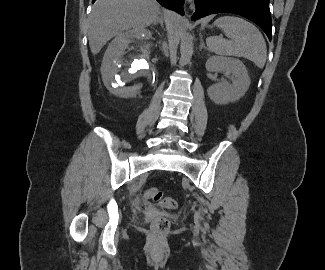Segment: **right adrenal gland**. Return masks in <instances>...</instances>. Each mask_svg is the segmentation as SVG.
<instances>
[{
	"mask_svg": "<svg viewBox=\"0 0 325 270\" xmlns=\"http://www.w3.org/2000/svg\"><path fill=\"white\" fill-rule=\"evenodd\" d=\"M160 24L162 28H164V21H163V17L160 15L158 17V19L153 23V25H157V24Z\"/></svg>",
	"mask_w": 325,
	"mask_h": 270,
	"instance_id": "right-adrenal-gland-1",
	"label": "right adrenal gland"
}]
</instances>
